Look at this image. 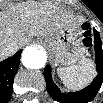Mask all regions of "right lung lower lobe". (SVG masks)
<instances>
[{
	"mask_svg": "<svg viewBox=\"0 0 103 103\" xmlns=\"http://www.w3.org/2000/svg\"><path fill=\"white\" fill-rule=\"evenodd\" d=\"M21 51L0 63V92L9 96L13 90V80L18 70Z\"/></svg>",
	"mask_w": 103,
	"mask_h": 103,
	"instance_id": "98d812e1",
	"label": "right lung lower lobe"
}]
</instances>
